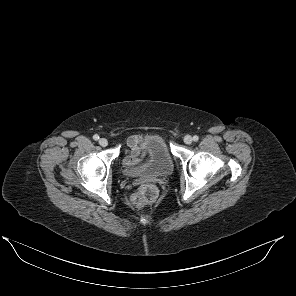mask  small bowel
<instances>
[{
    "label": "small bowel",
    "instance_id": "1",
    "mask_svg": "<svg viewBox=\"0 0 296 296\" xmlns=\"http://www.w3.org/2000/svg\"><path fill=\"white\" fill-rule=\"evenodd\" d=\"M140 136H132L128 140V150L125 152L124 165L125 166H134L142 158L146 156L144 152L141 151Z\"/></svg>",
    "mask_w": 296,
    "mask_h": 296
}]
</instances>
